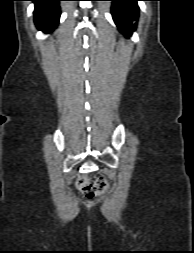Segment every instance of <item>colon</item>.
I'll list each match as a JSON object with an SVG mask.
<instances>
[{"mask_svg":"<svg viewBox=\"0 0 194 253\" xmlns=\"http://www.w3.org/2000/svg\"><path fill=\"white\" fill-rule=\"evenodd\" d=\"M77 186L87 197H96L107 191L109 183L102 177L91 179L83 176L77 180Z\"/></svg>","mask_w":194,"mask_h":253,"instance_id":"5ec220e1","label":"colon"}]
</instances>
